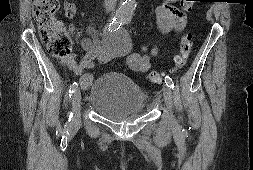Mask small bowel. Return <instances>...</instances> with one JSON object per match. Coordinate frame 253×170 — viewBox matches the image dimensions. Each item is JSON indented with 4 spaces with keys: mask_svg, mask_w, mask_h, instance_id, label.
I'll list each match as a JSON object with an SVG mask.
<instances>
[{
    "mask_svg": "<svg viewBox=\"0 0 253 170\" xmlns=\"http://www.w3.org/2000/svg\"><path fill=\"white\" fill-rule=\"evenodd\" d=\"M179 0H164L162 5L156 9V20L158 29L167 33L170 31L180 32L186 24V12L175 6ZM63 12L67 19H72L76 12V6L71 1L63 2ZM64 30L68 34L79 35V31L75 25L70 23L64 25ZM90 32H94L91 28ZM81 47L86 51L85 56L79 63L76 62L75 56L72 55L61 61L75 75L79 76V82L82 88H87L92 82V76L89 73H84L85 70L92 69L96 62H107L117 55V52L105 42L93 40L91 38H82L80 41ZM142 53H128L125 55L128 67L138 73H145L150 68V57L157 54L155 48L148 49L147 46L141 48Z\"/></svg>",
    "mask_w": 253,
    "mask_h": 170,
    "instance_id": "c3829d8e",
    "label": "small bowel"
}]
</instances>
